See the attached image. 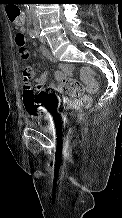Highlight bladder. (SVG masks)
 <instances>
[{
	"label": "bladder",
	"mask_w": 122,
	"mask_h": 218,
	"mask_svg": "<svg viewBox=\"0 0 122 218\" xmlns=\"http://www.w3.org/2000/svg\"><path fill=\"white\" fill-rule=\"evenodd\" d=\"M45 119L46 115L43 113H28L26 115V122L40 131H46L48 129Z\"/></svg>",
	"instance_id": "bladder-1"
}]
</instances>
